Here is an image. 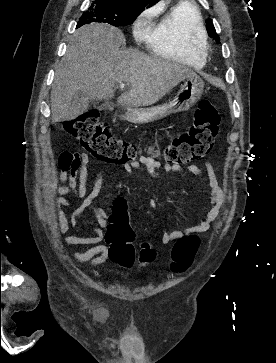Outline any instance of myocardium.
Returning <instances> with one entry per match:
<instances>
[{
  "mask_svg": "<svg viewBox=\"0 0 276 363\" xmlns=\"http://www.w3.org/2000/svg\"><path fill=\"white\" fill-rule=\"evenodd\" d=\"M193 43L199 48L204 51L207 50V37L206 35H203L201 37H194Z\"/></svg>",
  "mask_w": 276,
  "mask_h": 363,
  "instance_id": "f54148a6",
  "label": "myocardium"
}]
</instances>
